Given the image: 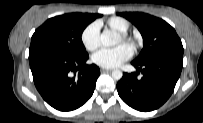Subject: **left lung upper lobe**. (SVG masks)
<instances>
[{
    "instance_id": "5c2ea615",
    "label": "left lung upper lobe",
    "mask_w": 203,
    "mask_h": 123,
    "mask_svg": "<svg viewBox=\"0 0 203 123\" xmlns=\"http://www.w3.org/2000/svg\"><path fill=\"white\" fill-rule=\"evenodd\" d=\"M131 21L143 37V49L135 62H144L150 59L179 55L183 56V46L180 38L172 26L166 21L139 12L120 13Z\"/></svg>"
}]
</instances>
